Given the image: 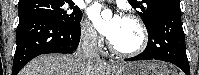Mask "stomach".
Returning <instances> with one entry per match:
<instances>
[{"label":"stomach","mask_w":199,"mask_h":75,"mask_svg":"<svg viewBox=\"0 0 199 75\" xmlns=\"http://www.w3.org/2000/svg\"><path fill=\"white\" fill-rule=\"evenodd\" d=\"M114 75H171L170 65L156 61H140L123 64L114 70Z\"/></svg>","instance_id":"obj_1"}]
</instances>
